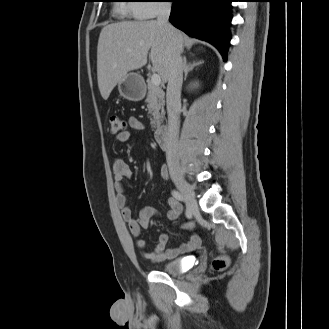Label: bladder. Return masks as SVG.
I'll return each mask as SVG.
<instances>
[{
    "label": "bladder",
    "instance_id": "1",
    "mask_svg": "<svg viewBox=\"0 0 329 329\" xmlns=\"http://www.w3.org/2000/svg\"><path fill=\"white\" fill-rule=\"evenodd\" d=\"M186 261L187 258H175L167 260L162 264L160 271L170 275L180 274L186 267Z\"/></svg>",
    "mask_w": 329,
    "mask_h": 329
}]
</instances>
